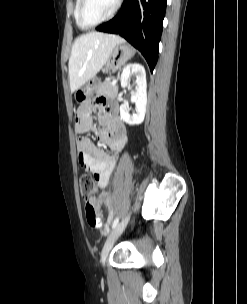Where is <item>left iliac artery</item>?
Listing matches in <instances>:
<instances>
[{
  "mask_svg": "<svg viewBox=\"0 0 247 304\" xmlns=\"http://www.w3.org/2000/svg\"><path fill=\"white\" fill-rule=\"evenodd\" d=\"M118 222H119V218L117 217L112 224L113 229L118 225Z\"/></svg>",
  "mask_w": 247,
  "mask_h": 304,
  "instance_id": "left-iliac-artery-1",
  "label": "left iliac artery"
}]
</instances>
